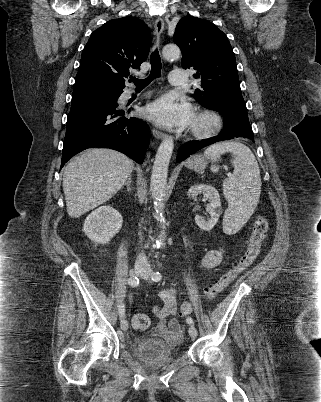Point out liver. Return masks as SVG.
<instances>
[{
    "mask_svg": "<svg viewBox=\"0 0 321 402\" xmlns=\"http://www.w3.org/2000/svg\"><path fill=\"white\" fill-rule=\"evenodd\" d=\"M133 169L130 158L111 149L93 148L76 157L63 174L68 215L78 218L108 201Z\"/></svg>",
    "mask_w": 321,
    "mask_h": 402,
    "instance_id": "liver-1",
    "label": "liver"
}]
</instances>
